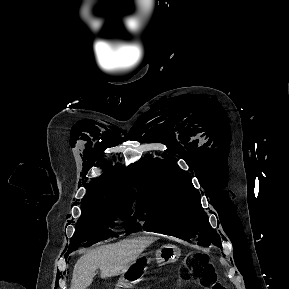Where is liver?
I'll use <instances>...</instances> for the list:
<instances>
[{
	"label": "liver",
	"instance_id": "6515ba94",
	"mask_svg": "<svg viewBox=\"0 0 289 289\" xmlns=\"http://www.w3.org/2000/svg\"><path fill=\"white\" fill-rule=\"evenodd\" d=\"M155 239L142 237L106 245L83 255L75 264L70 289H86L99 268L101 278L126 272Z\"/></svg>",
	"mask_w": 289,
	"mask_h": 289
}]
</instances>
